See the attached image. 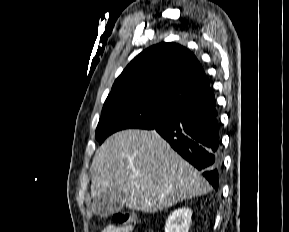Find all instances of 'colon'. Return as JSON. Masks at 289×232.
<instances>
[{"mask_svg":"<svg viewBox=\"0 0 289 232\" xmlns=\"http://www.w3.org/2000/svg\"><path fill=\"white\" fill-rule=\"evenodd\" d=\"M114 223L117 226L131 225L134 221L133 215L127 211H117L112 216Z\"/></svg>","mask_w":289,"mask_h":232,"instance_id":"1","label":"colon"}]
</instances>
